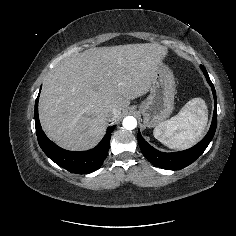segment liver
Returning <instances> with one entry per match:
<instances>
[{
  "label": "liver",
  "instance_id": "6515ba94",
  "mask_svg": "<svg viewBox=\"0 0 236 236\" xmlns=\"http://www.w3.org/2000/svg\"><path fill=\"white\" fill-rule=\"evenodd\" d=\"M167 48L157 43L95 47L62 60L47 75L39 100L46 135L60 147H94L108 121L151 89ZM113 109L117 114L109 118Z\"/></svg>",
  "mask_w": 236,
  "mask_h": 236
}]
</instances>
